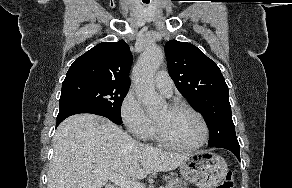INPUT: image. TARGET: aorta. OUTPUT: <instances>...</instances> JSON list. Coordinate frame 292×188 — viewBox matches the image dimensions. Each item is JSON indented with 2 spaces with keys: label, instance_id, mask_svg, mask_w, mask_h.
Masks as SVG:
<instances>
[{
  "label": "aorta",
  "instance_id": "aorta-1",
  "mask_svg": "<svg viewBox=\"0 0 292 188\" xmlns=\"http://www.w3.org/2000/svg\"><path fill=\"white\" fill-rule=\"evenodd\" d=\"M163 59L162 48L158 45H152L141 54L134 68L136 94L150 113L160 110L164 105L162 97L157 94L153 84L154 74Z\"/></svg>",
  "mask_w": 292,
  "mask_h": 188
}]
</instances>
